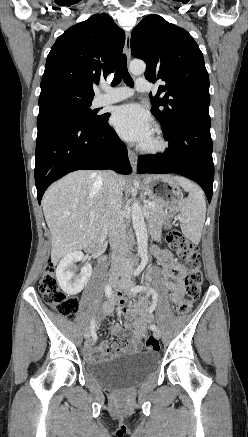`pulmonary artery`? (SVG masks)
I'll list each match as a JSON object with an SVG mask.
<instances>
[{"instance_id": "1", "label": "pulmonary artery", "mask_w": 248, "mask_h": 437, "mask_svg": "<svg viewBox=\"0 0 248 437\" xmlns=\"http://www.w3.org/2000/svg\"><path fill=\"white\" fill-rule=\"evenodd\" d=\"M151 89L150 82L145 78H138L136 80L135 89L128 87H120L115 89H106L105 93L97 99L98 105H107L122 101L133 95L134 91L148 92Z\"/></svg>"}]
</instances>
